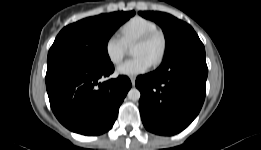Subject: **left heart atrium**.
I'll list each match as a JSON object with an SVG mask.
<instances>
[{"label":"left heart atrium","instance_id":"left-heart-atrium-1","mask_svg":"<svg viewBox=\"0 0 261 150\" xmlns=\"http://www.w3.org/2000/svg\"><path fill=\"white\" fill-rule=\"evenodd\" d=\"M153 65V62L144 55L135 56L117 67L120 75L135 77L146 73Z\"/></svg>","mask_w":261,"mask_h":150}]
</instances>
